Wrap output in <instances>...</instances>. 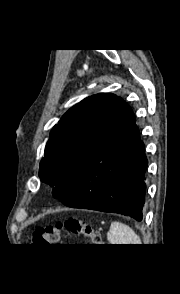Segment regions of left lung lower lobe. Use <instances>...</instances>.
<instances>
[{
  "label": "left lung lower lobe",
  "instance_id": "left-lung-lower-lobe-1",
  "mask_svg": "<svg viewBox=\"0 0 180 294\" xmlns=\"http://www.w3.org/2000/svg\"><path fill=\"white\" fill-rule=\"evenodd\" d=\"M129 107L88 161L73 189L60 201L142 220L147 158Z\"/></svg>",
  "mask_w": 180,
  "mask_h": 294
}]
</instances>
